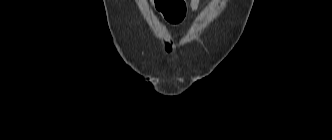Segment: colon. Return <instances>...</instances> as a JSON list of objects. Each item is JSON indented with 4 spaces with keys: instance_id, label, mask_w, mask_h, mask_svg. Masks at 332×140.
I'll list each match as a JSON object with an SVG mask.
<instances>
[{
    "instance_id": "1",
    "label": "colon",
    "mask_w": 332,
    "mask_h": 140,
    "mask_svg": "<svg viewBox=\"0 0 332 140\" xmlns=\"http://www.w3.org/2000/svg\"><path fill=\"white\" fill-rule=\"evenodd\" d=\"M153 3L168 21L179 20L185 15V0H153Z\"/></svg>"
}]
</instances>
